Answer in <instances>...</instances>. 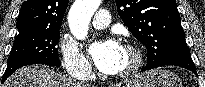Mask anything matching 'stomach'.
Here are the masks:
<instances>
[{"label":"stomach","mask_w":205,"mask_h":87,"mask_svg":"<svg viewBox=\"0 0 205 87\" xmlns=\"http://www.w3.org/2000/svg\"><path fill=\"white\" fill-rule=\"evenodd\" d=\"M181 81L176 74L162 69L141 73L126 87H181Z\"/></svg>","instance_id":"obj_1"}]
</instances>
